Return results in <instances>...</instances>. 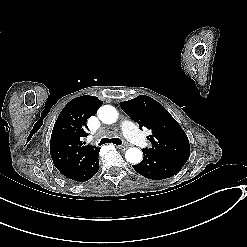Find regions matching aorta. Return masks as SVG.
<instances>
[{"mask_svg":"<svg viewBox=\"0 0 247 247\" xmlns=\"http://www.w3.org/2000/svg\"><path fill=\"white\" fill-rule=\"evenodd\" d=\"M99 119L105 124L115 123L118 119V112L115 107L110 105L101 106L98 110ZM125 158L132 164H139L142 161L143 154L138 148H129L125 153Z\"/></svg>","mask_w":247,"mask_h":247,"instance_id":"aorta-1","label":"aorta"}]
</instances>
